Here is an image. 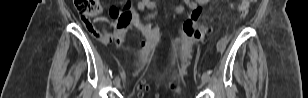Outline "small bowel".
Returning a JSON list of instances; mask_svg holds the SVG:
<instances>
[{
	"label": "small bowel",
	"instance_id": "1",
	"mask_svg": "<svg viewBox=\"0 0 308 98\" xmlns=\"http://www.w3.org/2000/svg\"><path fill=\"white\" fill-rule=\"evenodd\" d=\"M206 1L205 0H198V1H192V0H183L181 4L179 5H174L173 9L175 10V12L177 13H181L184 11L185 8H188L190 10H195L197 8H199V6L201 4H204ZM156 6V2L155 1H150V0H142L139 1L136 5V9L139 11L144 10L145 8H154ZM136 15V14H135ZM138 18V15H136ZM116 20V19H115ZM137 21H139V19H137ZM116 24H118L117 20H116ZM115 24V25H116ZM93 35L94 32L89 30ZM96 31V30H95ZM102 34H106V33H110L108 32L105 28H102ZM227 45V37L224 36L222 37L218 44H217V49L220 52H223L225 50V47Z\"/></svg>",
	"mask_w": 308,
	"mask_h": 98
}]
</instances>
